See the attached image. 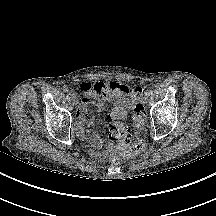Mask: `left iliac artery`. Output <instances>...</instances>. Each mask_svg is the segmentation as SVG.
Here are the masks:
<instances>
[{
	"mask_svg": "<svg viewBox=\"0 0 216 216\" xmlns=\"http://www.w3.org/2000/svg\"><path fill=\"white\" fill-rule=\"evenodd\" d=\"M145 94L149 96V95L152 94V91L151 90H147Z\"/></svg>",
	"mask_w": 216,
	"mask_h": 216,
	"instance_id": "1",
	"label": "left iliac artery"
}]
</instances>
